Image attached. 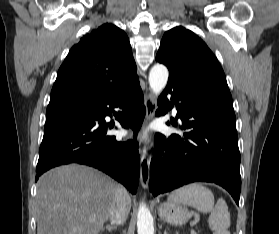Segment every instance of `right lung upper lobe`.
<instances>
[{"mask_svg":"<svg viewBox=\"0 0 279 234\" xmlns=\"http://www.w3.org/2000/svg\"><path fill=\"white\" fill-rule=\"evenodd\" d=\"M136 79L127 35L106 23L71 48L59 68L48 108L86 107L112 97Z\"/></svg>","mask_w":279,"mask_h":234,"instance_id":"obj_1","label":"right lung upper lobe"}]
</instances>
